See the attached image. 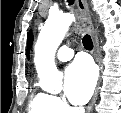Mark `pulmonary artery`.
<instances>
[{
    "mask_svg": "<svg viewBox=\"0 0 121 113\" xmlns=\"http://www.w3.org/2000/svg\"><path fill=\"white\" fill-rule=\"evenodd\" d=\"M74 56V50L70 46L63 45L59 48L56 54V58L60 62H66L72 59Z\"/></svg>",
    "mask_w": 121,
    "mask_h": 113,
    "instance_id": "pulmonary-artery-1",
    "label": "pulmonary artery"
}]
</instances>
